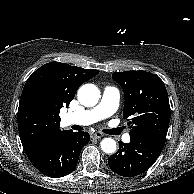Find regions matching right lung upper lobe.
<instances>
[{"label":"right lung upper lobe","instance_id":"obj_1","mask_svg":"<svg viewBox=\"0 0 194 194\" xmlns=\"http://www.w3.org/2000/svg\"><path fill=\"white\" fill-rule=\"evenodd\" d=\"M98 73L94 69L50 62L28 78L18 108V130L24 151L61 131L60 109L69 105L82 83Z\"/></svg>","mask_w":194,"mask_h":194}]
</instances>
